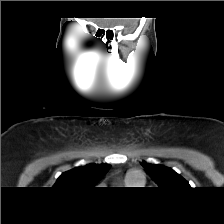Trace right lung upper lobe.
Wrapping results in <instances>:
<instances>
[{"instance_id": "obj_1", "label": "right lung upper lobe", "mask_w": 224, "mask_h": 224, "mask_svg": "<svg viewBox=\"0 0 224 224\" xmlns=\"http://www.w3.org/2000/svg\"><path fill=\"white\" fill-rule=\"evenodd\" d=\"M110 168L108 164H88L62 173L54 187L64 190L94 188Z\"/></svg>"}]
</instances>
